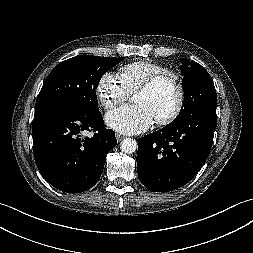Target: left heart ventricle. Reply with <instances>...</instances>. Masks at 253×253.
I'll use <instances>...</instances> for the list:
<instances>
[{"label": "left heart ventricle", "instance_id": "b2bd125f", "mask_svg": "<svg viewBox=\"0 0 253 253\" xmlns=\"http://www.w3.org/2000/svg\"><path fill=\"white\" fill-rule=\"evenodd\" d=\"M135 102L148 106L156 120L167 115L174 108L176 91L172 84L165 82L153 92H138Z\"/></svg>", "mask_w": 253, "mask_h": 253}]
</instances>
